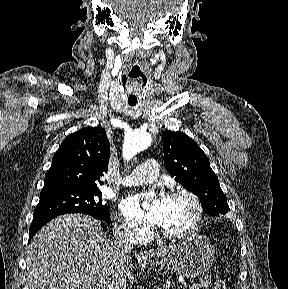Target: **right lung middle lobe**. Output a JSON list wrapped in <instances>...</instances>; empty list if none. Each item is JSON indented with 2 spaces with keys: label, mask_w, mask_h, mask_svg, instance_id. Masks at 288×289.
I'll use <instances>...</instances> for the list:
<instances>
[{
  "label": "right lung middle lobe",
  "mask_w": 288,
  "mask_h": 289,
  "mask_svg": "<svg viewBox=\"0 0 288 289\" xmlns=\"http://www.w3.org/2000/svg\"><path fill=\"white\" fill-rule=\"evenodd\" d=\"M102 193L98 187L44 188L40 201L34 210L37 216H58L66 213H84L99 220L110 218L109 208L102 203Z\"/></svg>",
  "instance_id": "1"
}]
</instances>
